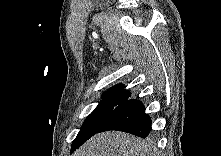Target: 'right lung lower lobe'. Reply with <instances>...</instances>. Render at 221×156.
<instances>
[{
  "mask_svg": "<svg viewBox=\"0 0 221 156\" xmlns=\"http://www.w3.org/2000/svg\"><path fill=\"white\" fill-rule=\"evenodd\" d=\"M108 130L124 131L146 138L151 131V118L145 113V107L140 101L126 100L110 113L97 133Z\"/></svg>",
  "mask_w": 221,
  "mask_h": 156,
  "instance_id": "obj_1",
  "label": "right lung lower lobe"
}]
</instances>
